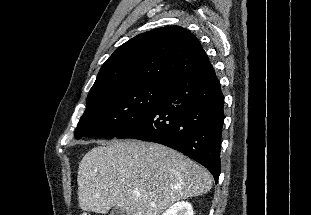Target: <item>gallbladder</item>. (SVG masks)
<instances>
[{
    "label": "gallbladder",
    "instance_id": "obj_1",
    "mask_svg": "<svg viewBox=\"0 0 311 215\" xmlns=\"http://www.w3.org/2000/svg\"><path fill=\"white\" fill-rule=\"evenodd\" d=\"M109 215H125V212L118 207H115L111 210Z\"/></svg>",
    "mask_w": 311,
    "mask_h": 215
}]
</instances>
